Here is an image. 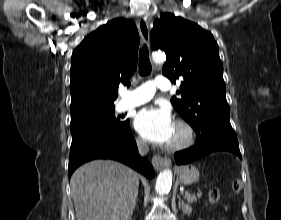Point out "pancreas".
I'll list each match as a JSON object with an SVG mask.
<instances>
[{
  "label": "pancreas",
  "instance_id": "cf45deb5",
  "mask_svg": "<svg viewBox=\"0 0 281 220\" xmlns=\"http://www.w3.org/2000/svg\"><path fill=\"white\" fill-rule=\"evenodd\" d=\"M185 198L190 202H196L198 197L194 194H190L189 192H185Z\"/></svg>",
  "mask_w": 281,
  "mask_h": 220
}]
</instances>
